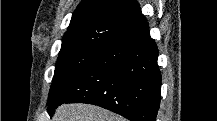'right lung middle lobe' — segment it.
Here are the masks:
<instances>
[{
    "label": "right lung middle lobe",
    "mask_w": 217,
    "mask_h": 121,
    "mask_svg": "<svg viewBox=\"0 0 217 121\" xmlns=\"http://www.w3.org/2000/svg\"><path fill=\"white\" fill-rule=\"evenodd\" d=\"M125 25L120 21L101 20L68 30L62 39L48 99L87 69Z\"/></svg>",
    "instance_id": "1"
}]
</instances>
